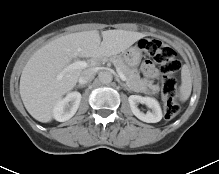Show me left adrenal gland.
I'll return each instance as SVG.
<instances>
[{
	"label": "left adrenal gland",
	"mask_w": 219,
	"mask_h": 174,
	"mask_svg": "<svg viewBox=\"0 0 219 174\" xmlns=\"http://www.w3.org/2000/svg\"><path fill=\"white\" fill-rule=\"evenodd\" d=\"M123 86L128 90V91H130L131 89L130 88H128L127 87V85L126 84H123Z\"/></svg>",
	"instance_id": "a2214340"
}]
</instances>
